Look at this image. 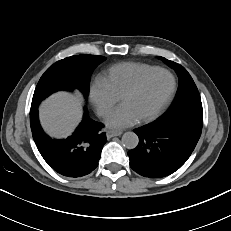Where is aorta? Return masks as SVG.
<instances>
[{"label": "aorta", "instance_id": "obj_1", "mask_svg": "<svg viewBox=\"0 0 231 231\" xmlns=\"http://www.w3.org/2000/svg\"><path fill=\"white\" fill-rule=\"evenodd\" d=\"M139 143V138L134 132H125L122 136V144L128 149H134Z\"/></svg>", "mask_w": 231, "mask_h": 231}]
</instances>
